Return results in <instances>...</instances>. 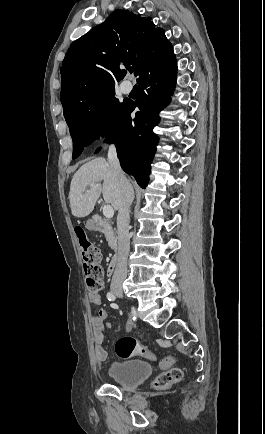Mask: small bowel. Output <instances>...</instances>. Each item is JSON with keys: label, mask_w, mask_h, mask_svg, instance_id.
Listing matches in <instances>:
<instances>
[{"label": "small bowel", "mask_w": 265, "mask_h": 434, "mask_svg": "<svg viewBox=\"0 0 265 434\" xmlns=\"http://www.w3.org/2000/svg\"><path fill=\"white\" fill-rule=\"evenodd\" d=\"M87 300L94 305L101 304V297L95 293H88ZM108 311L105 308H100L95 314L91 316L92 326V339H93V363L94 366L101 370L104 362L107 359V351L105 350L103 343L105 340V334L110 327V322H107ZM173 360L169 357L159 360L158 366L161 370H167L173 365Z\"/></svg>", "instance_id": "obj_1"}]
</instances>
